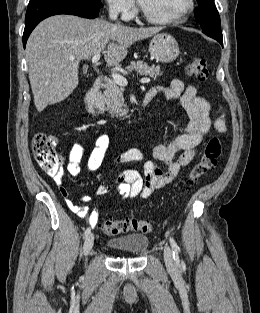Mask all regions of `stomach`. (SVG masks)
Returning <instances> with one entry per match:
<instances>
[{
    "instance_id": "1",
    "label": "stomach",
    "mask_w": 260,
    "mask_h": 313,
    "mask_svg": "<svg viewBox=\"0 0 260 313\" xmlns=\"http://www.w3.org/2000/svg\"><path fill=\"white\" fill-rule=\"evenodd\" d=\"M151 56L159 62L170 63L179 55L176 39L167 33L156 34L149 45Z\"/></svg>"
}]
</instances>
